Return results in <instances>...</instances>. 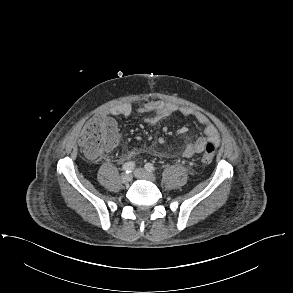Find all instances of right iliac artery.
Masks as SVG:
<instances>
[{
    "label": "right iliac artery",
    "instance_id": "82829eb1",
    "mask_svg": "<svg viewBox=\"0 0 293 293\" xmlns=\"http://www.w3.org/2000/svg\"><path fill=\"white\" fill-rule=\"evenodd\" d=\"M134 168H135L134 162H126L122 166L123 171L126 173H131L134 170Z\"/></svg>",
    "mask_w": 293,
    "mask_h": 293
}]
</instances>
